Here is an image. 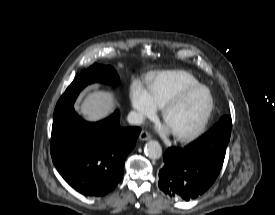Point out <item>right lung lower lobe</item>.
I'll return each mask as SVG.
<instances>
[{
  "label": "right lung lower lobe",
  "mask_w": 275,
  "mask_h": 215,
  "mask_svg": "<svg viewBox=\"0 0 275 215\" xmlns=\"http://www.w3.org/2000/svg\"><path fill=\"white\" fill-rule=\"evenodd\" d=\"M139 127L123 128L119 112L96 123L84 121L73 105L54 112L51 156L64 180L79 193L103 196L122 179Z\"/></svg>",
  "instance_id": "98d812e1"
}]
</instances>
